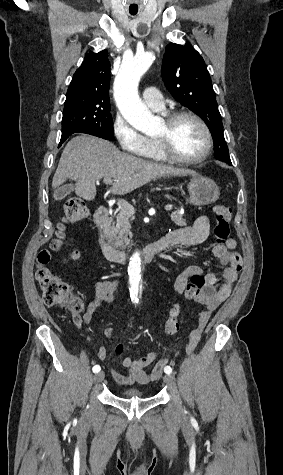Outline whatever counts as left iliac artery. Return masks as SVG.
Instances as JSON below:
<instances>
[{
  "label": "left iliac artery",
  "mask_w": 283,
  "mask_h": 475,
  "mask_svg": "<svg viewBox=\"0 0 283 475\" xmlns=\"http://www.w3.org/2000/svg\"><path fill=\"white\" fill-rule=\"evenodd\" d=\"M164 372H165L166 374L172 373L171 367H170V366H166V367L164 368Z\"/></svg>",
  "instance_id": "44dca946"
}]
</instances>
